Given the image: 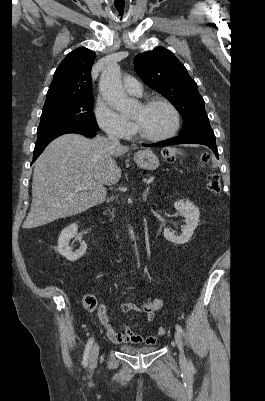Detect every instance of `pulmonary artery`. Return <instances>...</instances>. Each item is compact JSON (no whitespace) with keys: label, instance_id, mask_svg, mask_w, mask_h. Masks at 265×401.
I'll return each instance as SVG.
<instances>
[{"label":"pulmonary artery","instance_id":"pulmonary-artery-1","mask_svg":"<svg viewBox=\"0 0 265 401\" xmlns=\"http://www.w3.org/2000/svg\"><path fill=\"white\" fill-rule=\"evenodd\" d=\"M123 88L129 93H132L135 95L141 94V88L139 86L138 81H136V78L134 75L126 76L125 81H123Z\"/></svg>","mask_w":265,"mask_h":401}]
</instances>
